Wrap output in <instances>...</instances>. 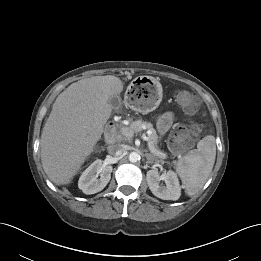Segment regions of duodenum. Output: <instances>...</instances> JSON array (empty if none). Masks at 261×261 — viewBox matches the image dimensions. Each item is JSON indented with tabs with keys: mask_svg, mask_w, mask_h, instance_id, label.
<instances>
[{
	"mask_svg": "<svg viewBox=\"0 0 261 261\" xmlns=\"http://www.w3.org/2000/svg\"><path fill=\"white\" fill-rule=\"evenodd\" d=\"M105 135L110 142H114L117 138V132L115 125L110 122L107 124L105 129Z\"/></svg>",
	"mask_w": 261,
	"mask_h": 261,
	"instance_id": "duodenum-1",
	"label": "duodenum"
}]
</instances>
